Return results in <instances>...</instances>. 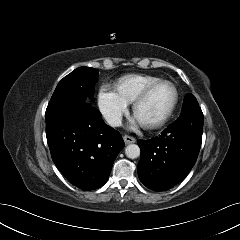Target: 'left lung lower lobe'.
Returning <instances> with one entry per match:
<instances>
[{
	"label": "left lung lower lobe",
	"mask_w": 240,
	"mask_h": 240,
	"mask_svg": "<svg viewBox=\"0 0 240 240\" xmlns=\"http://www.w3.org/2000/svg\"><path fill=\"white\" fill-rule=\"evenodd\" d=\"M203 113L200 107L181 112L159 137L139 140L140 181L154 191H165L182 181L195 164L202 142Z\"/></svg>",
	"instance_id": "left-lung-lower-lobe-1"
}]
</instances>
